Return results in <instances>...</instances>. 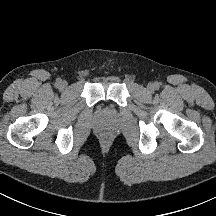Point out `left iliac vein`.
Masks as SVG:
<instances>
[{
  "mask_svg": "<svg viewBox=\"0 0 216 216\" xmlns=\"http://www.w3.org/2000/svg\"><path fill=\"white\" fill-rule=\"evenodd\" d=\"M147 90H148V92H153L154 91V85L153 84H148L147 85Z\"/></svg>",
  "mask_w": 216,
  "mask_h": 216,
  "instance_id": "1",
  "label": "left iliac vein"
}]
</instances>
